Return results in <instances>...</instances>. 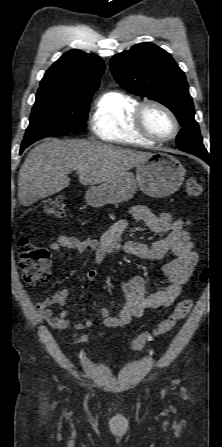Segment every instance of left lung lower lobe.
Here are the masks:
<instances>
[{
	"instance_id": "left-lung-lower-lobe-1",
	"label": "left lung lower lobe",
	"mask_w": 222,
	"mask_h": 447,
	"mask_svg": "<svg viewBox=\"0 0 222 447\" xmlns=\"http://www.w3.org/2000/svg\"><path fill=\"white\" fill-rule=\"evenodd\" d=\"M188 153H191V152H188ZM191 154H194V155L198 156L199 158L203 159L206 162L208 161V155L206 156V155H203V154H195V153H191Z\"/></svg>"
}]
</instances>
